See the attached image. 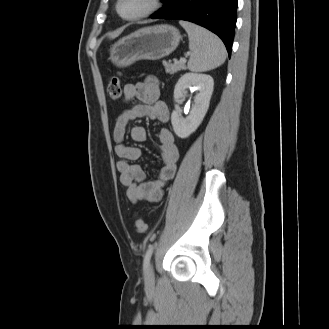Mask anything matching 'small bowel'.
Wrapping results in <instances>:
<instances>
[{"mask_svg": "<svg viewBox=\"0 0 329 329\" xmlns=\"http://www.w3.org/2000/svg\"><path fill=\"white\" fill-rule=\"evenodd\" d=\"M122 99L131 104L117 117L113 127L115 153L118 156L116 167L120 173V181L127 189L128 199L135 203L140 200L150 202L159 201L163 195V187L174 177L179 158V150L173 133L167 128H161L158 140L161 152V167L158 176L146 181V174L142 167L132 161L141 157L139 148L124 143L128 124L138 118H149L160 122H167L169 109L160 99V86L155 78L124 86ZM129 137L134 142L146 140V129L136 125L129 129Z\"/></svg>", "mask_w": 329, "mask_h": 329, "instance_id": "small-bowel-1", "label": "small bowel"}]
</instances>
